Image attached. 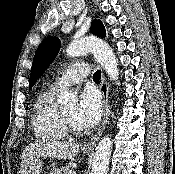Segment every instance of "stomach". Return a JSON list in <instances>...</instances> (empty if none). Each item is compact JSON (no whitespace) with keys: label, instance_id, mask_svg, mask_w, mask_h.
<instances>
[{"label":"stomach","instance_id":"0dacf381","mask_svg":"<svg viewBox=\"0 0 175 174\" xmlns=\"http://www.w3.org/2000/svg\"><path fill=\"white\" fill-rule=\"evenodd\" d=\"M85 154H88V151H83ZM42 170V161L38 157H35L32 160L24 161L21 165L22 174H41ZM57 174H59L57 172Z\"/></svg>","mask_w":175,"mask_h":174}]
</instances>
